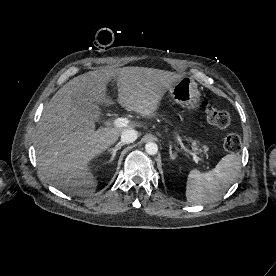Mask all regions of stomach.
I'll return each mask as SVG.
<instances>
[{"mask_svg":"<svg viewBox=\"0 0 276 276\" xmlns=\"http://www.w3.org/2000/svg\"><path fill=\"white\" fill-rule=\"evenodd\" d=\"M169 94L188 111H196L200 107V92L191 77H182L170 88Z\"/></svg>","mask_w":276,"mask_h":276,"instance_id":"stomach-1","label":"stomach"}]
</instances>
